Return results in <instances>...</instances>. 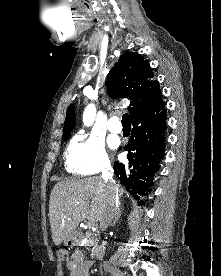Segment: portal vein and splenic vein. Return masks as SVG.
<instances>
[{
	"label": "portal vein and splenic vein",
	"mask_w": 221,
	"mask_h": 276,
	"mask_svg": "<svg viewBox=\"0 0 221 276\" xmlns=\"http://www.w3.org/2000/svg\"><path fill=\"white\" fill-rule=\"evenodd\" d=\"M87 226H88V227H91V226H92V223H88Z\"/></svg>",
	"instance_id": "portal-vein-and-splenic-vein-1"
}]
</instances>
